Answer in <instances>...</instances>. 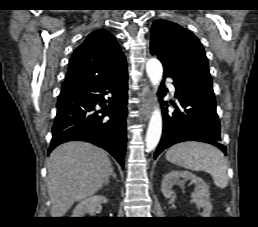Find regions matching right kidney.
Segmentation results:
<instances>
[{"label":"right kidney","instance_id":"1","mask_svg":"<svg viewBox=\"0 0 258 227\" xmlns=\"http://www.w3.org/2000/svg\"><path fill=\"white\" fill-rule=\"evenodd\" d=\"M102 203H107V199L104 196L94 195L86 198L75 207L72 217H84L85 214H94Z\"/></svg>","mask_w":258,"mask_h":227}]
</instances>
